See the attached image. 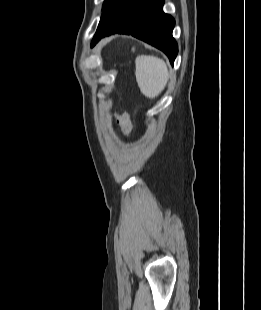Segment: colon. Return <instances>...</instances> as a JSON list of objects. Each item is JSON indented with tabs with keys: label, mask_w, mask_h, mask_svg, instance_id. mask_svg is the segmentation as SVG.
Returning <instances> with one entry per match:
<instances>
[{
	"label": "colon",
	"mask_w": 261,
	"mask_h": 310,
	"mask_svg": "<svg viewBox=\"0 0 261 310\" xmlns=\"http://www.w3.org/2000/svg\"><path fill=\"white\" fill-rule=\"evenodd\" d=\"M117 122L121 128L122 133L124 135H129L132 129L129 115L127 113L118 115Z\"/></svg>",
	"instance_id": "1"
}]
</instances>
